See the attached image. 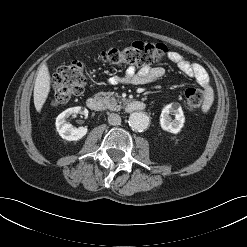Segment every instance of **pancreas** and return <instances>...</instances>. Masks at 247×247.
Masks as SVG:
<instances>
[{
  "label": "pancreas",
  "instance_id": "1",
  "mask_svg": "<svg viewBox=\"0 0 247 247\" xmlns=\"http://www.w3.org/2000/svg\"><path fill=\"white\" fill-rule=\"evenodd\" d=\"M98 95L101 97L107 108L110 110H120L122 108L121 103H128L126 98H121L120 95L114 92H100Z\"/></svg>",
  "mask_w": 247,
  "mask_h": 247
}]
</instances>
